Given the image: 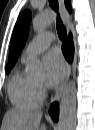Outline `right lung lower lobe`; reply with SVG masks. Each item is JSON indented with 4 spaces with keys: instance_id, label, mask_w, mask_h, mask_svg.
<instances>
[{
    "instance_id": "obj_1",
    "label": "right lung lower lobe",
    "mask_w": 95,
    "mask_h": 130,
    "mask_svg": "<svg viewBox=\"0 0 95 130\" xmlns=\"http://www.w3.org/2000/svg\"><path fill=\"white\" fill-rule=\"evenodd\" d=\"M62 51H63L66 59L71 61L73 58V52H74V47H73V42H72L71 36H69L67 41L63 44ZM50 114H51L53 120H55V121L58 120V105H57V103H54L51 106Z\"/></svg>"
}]
</instances>
